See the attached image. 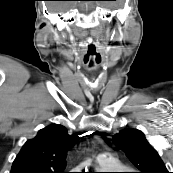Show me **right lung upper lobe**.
Listing matches in <instances>:
<instances>
[{
    "mask_svg": "<svg viewBox=\"0 0 173 173\" xmlns=\"http://www.w3.org/2000/svg\"><path fill=\"white\" fill-rule=\"evenodd\" d=\"M77 140L78 134L69 135L62 125L47 126L23 145L10 173H65L66 153Z\"/></svg>",
    "mask_w": 173,
    "mask_h": 173,
    "instance_id": "1",
    "label": "right lung upper lobe"
}]
</instances>
